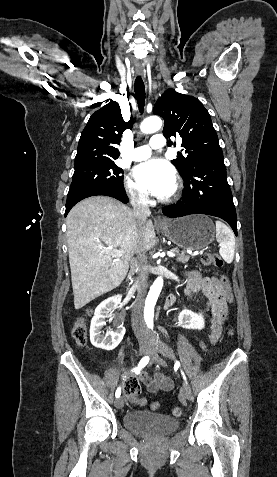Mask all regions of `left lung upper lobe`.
<instances>
[{
  "instance_id": "5c2ea615",
  "label": "left lung upper lobe",
  "mask_w": 277,
  "mask_h": 477,
  "mask_svg": "<svg viewBox=\"0 0 277 477\" xmlns=\"http://www.w3.org/2000/svg\"><path fill=\"white\" fill-rule=\"evenodd\" d=\"M153 112L165 120L166 138H182V150L187 156L180 155L171 161L182 177L187 176L199 160L223 155L211 117L197 98L168 89L157 100Z\"/></svg>"
}]
</instances>
